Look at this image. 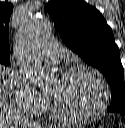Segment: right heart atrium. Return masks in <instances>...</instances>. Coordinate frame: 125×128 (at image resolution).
<instances>
[{
	"label": "right heart atrium",
	"instance_id": "obj_1",
	"mask_svg": "<svg viewBox=\"0 0 125 128\" xmlns=\"http://www.w3.org/2000/svg\"><path fill=\"white\" fill-rule=\"evenodd\" d=\"M11 88L17 107L24 113L36 115L48 105V100L37 92L20 73L11 74Z\"/></svg>",
	"mask_w": 125,
	"mask_h": 128
}]
</instances>
